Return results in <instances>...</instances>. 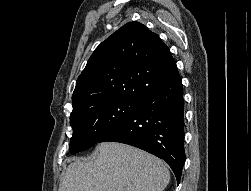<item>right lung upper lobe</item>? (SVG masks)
Masks as SVG:
<instances>
[{"instance_id":"obj_1","label":"right lung upper lobe","mask_w":251,"mask_h":191,"mask_svg":"<svg viewBox=\"0 0 251 191\" xmlns=\"http://www.w3.org/2000/svg\"><path fill=\"white\" fill-rule=\"evenodd\" d=\"M169 48L146 26L130 22L102 42L78 77L73 109L115 100L140 102L179 77Z\"/></svg>"}]
</instances>
